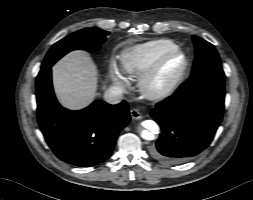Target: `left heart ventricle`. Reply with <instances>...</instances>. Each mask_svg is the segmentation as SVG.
I'll use <instances>...</instances> for the list:
<instances>
[{
	"label": "left heart ventricle",
	"instance_id": "obj_1",
	"mask_svg": "<svg viewBox=\"0 0 253 200\" xmlns=\"http://www.w3.org/2000/svg\"><path fill=\"white\" fill-rule=\"evenodd\" d=\"M182 65L181 57H172L162 66L157 78L156 85L160 86L169 81L180 69Z\"/></svg>",
	"mask_w": 253,
	"mask_h": 200
}]
</instances>
